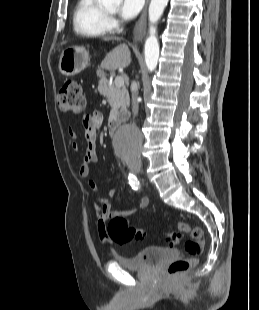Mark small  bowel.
Masks as SVG:
<instances>
[{"instance_id": "c3829d8e", "label": "small bowel", "mask_w": 259, "mask_h": 310, "mask_svg": "<svg viewBox=\"0 0 259 310\" xmlns=\"http://www.w3.org/2000/svg\"><path fill=\"white\" fill-rule=\"evenodd\" d=\"M103 121V115L99 111H94L91 114H86L82 118V125L84 128V142H85V154L82 157L79 167V175L87 179L88 187L91 191L96 192L98 185L95 180L90 178L91 165L97 162L96 154V140L99 128ZM68 135L72 139V149L77 151L79 144L77 142V133L72 128H68ZM148 205V199L142 198L139 203V208H144ZM94 213L97 219V228L101 241L105 245H111L112 242L109 239L107 232V221L109 218L116 216L117 214L111 212L110 203L107 199L99 197L97 202L93 205ZM132 211L131 213H134Z\"/></svg>"}]
</instances>
